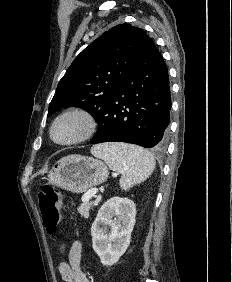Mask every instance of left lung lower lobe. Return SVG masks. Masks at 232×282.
I'll list each match as a JSON object with an SVG mask.
<instances>
[{
    "instance_id": "left-lung-lower-lobe-1",
    "label": "left lung lower lobe",
    "mask_w": 232,
    "mask_h": 282,
    "mask_svg": "<svg viewBox=\"0 0 232 282\" xmlns=\"http://www.w3.org/2000/svg\"><path fill=\"white\" fill-rule=\"evenodd\" d=\"M171 93L168 70L150 38L137 65L120 86L90 141L126 142L164 148L168 142Z\"/></svg>"
}]
</instances>
